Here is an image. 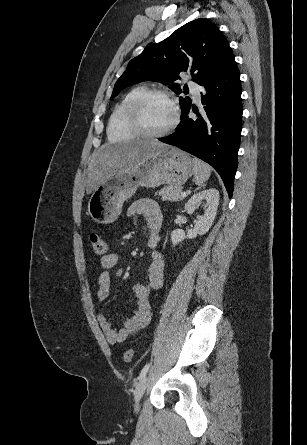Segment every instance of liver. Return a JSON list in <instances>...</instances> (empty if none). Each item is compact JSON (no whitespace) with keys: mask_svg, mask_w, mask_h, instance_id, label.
Returning <instances> with one entry per match:
<instances>
[{"mask_svg":"<svg viewBox=\"0 0 307 445\" xmlns=\"http://www.w3.org/2000/svg\"><path fill=\"white\" fill-rule=\"evenodd\" d=\"M162 148H169V144L159 140H134L126 144L101 146L87 168V194H91L98 184L109 178L110 174H117L120 170H130L137 166L138 162H142Z\"/></svg>","mask_w":307,"mask_h":445,"instance_id":"1","label":"liver"}]
</instances>
